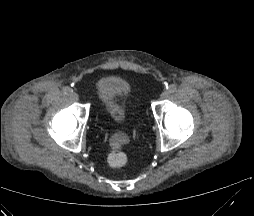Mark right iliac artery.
Listing matches in <instances>:
<instances>
[{
	"label": "right iliac artery",
	"instance_id": "right-iliac-artery-1",
	"mask_svg": "<svg viewBox=\"0 0 254 216\" xmlns=\"http://www.w3.org/2000/svg\"><path fill=\"white\" fill-rule=\"evenodd\" d=\"M64 92H65V94L70 95V94H72L73 90L70 87H66L64 89Z\"/></svg>",
	"mask_w": 254,
	"mask_h": 216
}]
</instances>
